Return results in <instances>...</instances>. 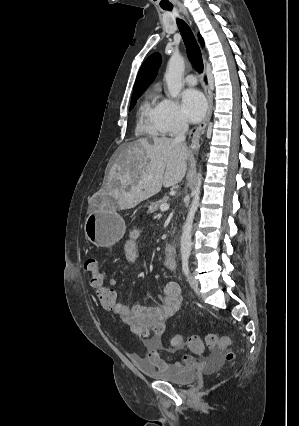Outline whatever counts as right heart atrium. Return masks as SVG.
<instances>
[{
	"instance_id": "d8ad5b80",
	"label": "right heart atrium",
	"mask_w": 299,
	"mask_h": 426,
	"mask_svg": "<svg viewBox=\"0 0 299 426\" xmlns=\"http://www.w3.org/2000/svg\"><path fill=\"white\" fill-rule=\"evenodd\" d=\"M158 119L165 134H176L187 127L180 107L171 99L163 98L159 103Z\"/></svg>"
}]
</instances>
